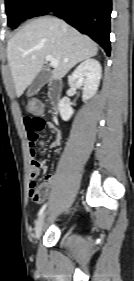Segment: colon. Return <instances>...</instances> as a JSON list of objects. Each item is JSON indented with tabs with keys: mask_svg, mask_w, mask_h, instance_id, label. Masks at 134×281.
<instances>
[{
	"mask_svg": "<svg viewBox=\"0 0 134 281\" xmlns=\"http://www.w3.org/2000/svg\"><path fill=\"white\" fill-rule=\"evenodd\" d=\"M43 106L39 101H30L28 104V109L32 113H39L41 112ZM30 197L36 201L40 202L43 200L45 193H46V186L44 184H38L35 181L30 183Z\"/></svg>",
	"mask_w": 134,
	"mask_h": 281,
	"instance_id": "obj_1",
	"label": "colon"
}]
</instances>
